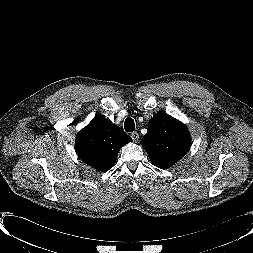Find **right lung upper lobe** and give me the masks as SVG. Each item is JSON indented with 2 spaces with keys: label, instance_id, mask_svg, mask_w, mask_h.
<instances>
[{
  "label": "right lung upper lobe",
  "instance_id": "1",
  "mask_svg": "<svg viewBox=\"0 0 253 253\" xmlns=\"http://www.w3.org/2000/svg\"><path fill=\"white\" fill-rule=\"evenodd\" d=\"M132 140L103 116L93 119L76 138V151L86 164L98 171H108L122 146Z\"/></svg>",
  "mask_w": 253,
  "mask_h": 253
}]
</instances>
